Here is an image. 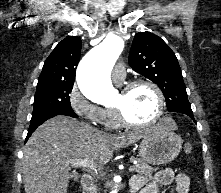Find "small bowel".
<instances>
[{
	"label": "small bowel",
	"instance_id": "c3829d8e",
	"mask_svg": "<svg viewBox=\"0 0 221 193\" xmlns=\"http://www.w3.org/2000/svg\"><path fill=\"white\" fill-rule=\"evenodd\" d=\"M174 183L176 193H189L190 178L185 173L175 174L170 168L158 170L151 176H135L130 187L135 193H158L160 186Z\"/></svg>",
	"mask_w": 221,
	"mask_h": 193
}]
</instances>
